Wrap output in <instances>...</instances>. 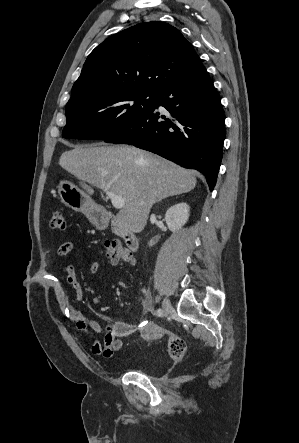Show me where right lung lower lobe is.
Segmentation results:
<instances>
[{
	"mask_svg": "<svg viewBox=\"0 0 299 443\" xmlns=\"http://www.w3.org/2000/svg\"><path fill=\"white\" fill-rule=\"evenodd\" d=\"M224 119L220 97L203 69L158 90L150 111L104 141L134 145L196 169L212 191L222 160Z\"/></svg>",
	"mask_w": 299,
	"mask_h": 443,
	"instance_id": "1",
	"label": "right lung lower lobe"
}]
</instances>
